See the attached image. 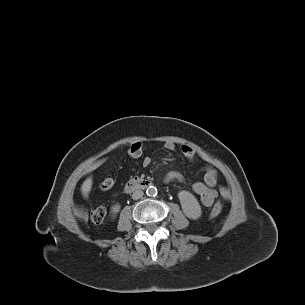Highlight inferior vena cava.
Returning <instances> with one entry per match:
<instances>
[{"mask_svg":"<svg viewBox=\"0 0 305 305\" xmlns=\"http://www.w3.org/2000/svg\"><path fill=\"white\" fill-rule=\"evenodd\" d=\"M143 195H144L143 191H141V190H136V191L133 192L132 198H133L134 200H138V199L142 198Z\"/></svg>","mask_w":305,"mask_h":305,"instance_id":"inferior-vena-cava-1","label":"inferior vena cava"}]
</instances>
